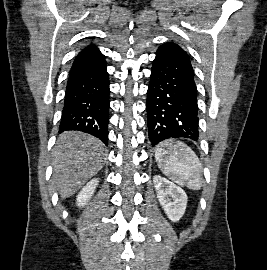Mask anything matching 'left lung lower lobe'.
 <instances>
[{
	"label": "left lung lower lobe",
	"instance_id": "0a47b994",
	"mask_svg": "<svg viewBox=\"0 0 267 270\" xmlns=\"http://www.w3.org/2000/svg\"><path fill=\"white\" fill-rule=\"evenodd\" d=\"M196 92L187 53L175 43L162 44L153 61L147 91L148 132L153 147L170 138L198 140Z\"/></svg>",
	"mask_w": 267,
	"mask_h": 270
}]
</instances>
